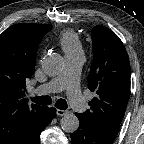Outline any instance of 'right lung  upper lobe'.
Here are the masks:
<instances>
[{
    "label": "right lung upper lobe",
    "mask_w": 144,
    "mask_h": 144,
    "mask_svg": "<svg viewBox=\"0 0 144 144\" xmlns=\"http://www.w3.org/2000/svg\"><path fill=\"white\" fill-rule=\"evenodd\" d=\"M50 24H16L0 35V144H16L45 108L24 98L37 48Z\"/></svg>",
    "instance_id": "obj_1"
}]
</instances>
